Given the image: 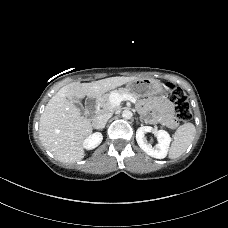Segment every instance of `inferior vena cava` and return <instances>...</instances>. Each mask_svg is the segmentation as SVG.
<instances>
[{
  "mask_svg": "<svg viewBox=\"0 0 228 228\" xmlns=\"http://www.w3.org/2000/svg\"><path fill=\"white\" fill-rule=\"evenodd\" d=\"M110 117H111L110 114L98 115L95 118H93L92 126L95 129H103Z\"/></svg>",
  "mask_w": 228,
  "mask_h": 228,
  "instance_id": "1",
  "label": "inferior vena cava"
}]
</instances>
